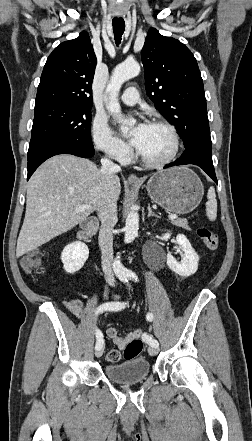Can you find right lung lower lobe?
I'll return each instance as SVG.
<instances>
[{
	"mask_svg": "<svg viewBox=\"0 0 252 441\" xmlns=\"http://www.w3.org/2000/svg\"><path fill=\"white\" fill-rule=\"evenodd\" d=\"M58 154H72L83 158L94 155L91 142L76 139H60L48 141L29 148L28 150V177L48 158Z\"/></svg>",
	"mask_w": 252,
	"mask_h": 441,
	"instance_id": "1",
	"label": "right lung lower lobe"
}]
</instances>
